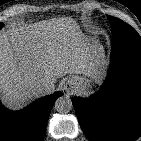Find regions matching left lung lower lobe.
I'll return each instance as SVG.
<instances>
[{
	"instance_id": "obj_1",
	"label": "left lung lower lobe",
	"mask_w": 141,
	"mask_h": 141,
	"mask_svg": "<svg viewBox=\"0 0 141 141\" xmlns=\"http://www.w3.org/2000/svg\"><path fill=\"white\" fill-rule=\"evenodd\" d=\"M105 84L72 102L90 141H134L141 135V41L112 39Z\"/></svg>"
}]
</instances>
